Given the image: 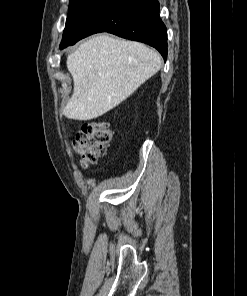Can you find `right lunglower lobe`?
Listing matches in <instances>:
<instances>
[{"label": "right lung lower lobe", "mask_w": 247, "mask_h": 296, "mask_svg": "<svg viewBox=\"0 0 247 296\" xmlns=\"http://www.w3.org/2000/svg\"><path fill=\"white\" fill-rule=\"evenodd\" d=\"M98 32L146 43L167 59V31L157 0H109L88 22L85 37Z\"/></svg>", "instance_id": "1"}]
</instances>
